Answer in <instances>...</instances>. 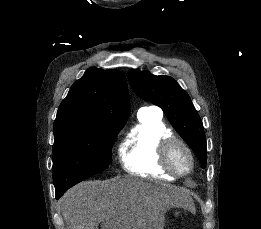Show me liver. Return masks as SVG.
Returning <instances> with one entry per match:
<instances>
[{"label":"liver","mask_w":261,"mask_h":229,"mask_svg":"<svg viewBox=\"0 0 261 229\" xmlns=\"http://www.w3.org/2000/svg\"><path fill=\"white\" fill-rule=\"evenodd\" d=\"M190 191L139 179L83 181L65 193L62 213L68 229H162V207H182Z\"/></svg>","instance_id":"liver-1"}]
</instances>
